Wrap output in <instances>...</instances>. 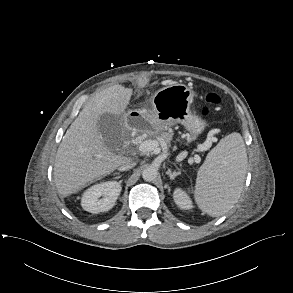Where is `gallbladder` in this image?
I'll return each mask as SVG.
<instances>
[{"label":"gallbladder","mask_w":293,"mask_h":293,"mask_svg":"<svg viewBox=\"0 0 293 293\" xmlns=\"http://www.w3.org/2000/svg\"><path fill=\"white\" fill-rule=\"evenodd\" d=\"M98 128L107 146L111 147L120 139L121 123L118 116L110 113L102 114L98 120Z\"/></svg>","instance_id":"gallbladder-1"}]
</instances>
